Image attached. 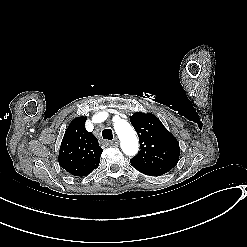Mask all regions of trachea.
I'll return each instance as SVG.
<instances>
[{"instance_id":"trachea-1","label":"trachea","mask_w":247,"mask_h":247,"mask_svg":"<svg viewBox=\"0 0 247 247\" xmlns=\"http://www.w3.org/2000/svg\"><path fill=\"white\" fill-rule=\"evenodd\" d=\"M102 137H103V139H106V140H110L111 141L113 139V132H112V130L111 129H108V128L104 129L102 131Z\"/></svg>"}]
</instances>
